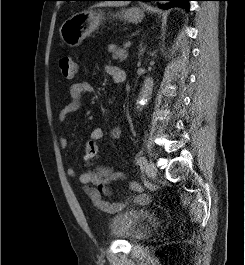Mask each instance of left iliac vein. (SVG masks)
I'll return each instance as SVG.
<instances>
[{"instance_id":"4c4485c4","label":"left iliac vein","mask_w":245,"mask_h":265,"mask_svg":"<svg viewBox=\"0 0 245 265\" xmlns=\"http://www.w3.org/2000/svg\"><path fill=\"white\" fill-rule=\"evenodd\" d=\"M146 173L152 179H154L156 177L157 168L153 162L150 161V162L146 163Z\"/></svg>"}]
</instances>
